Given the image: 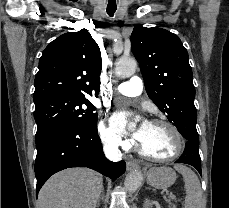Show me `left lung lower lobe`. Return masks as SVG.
Returning a JSON list of instances; mask_svg holds the SVG:
<instances>
[{
    "instance_id": "1",
    "label": "left lung lower lobe",
    "mask_w": 229,
    "mask_h": 208,
    "mask_svg": "<svg viewBox=\"0 0 229 208\" xmlns=\"http://www.w3.org/2000/svg\"><path fill=\"white\" fill-rule=\"evenodd\" d=\"M186 140L185 150L176 163L189 164L195 167L200 175L201 173V159L199 155V136L196 129H188L181 134Z\"/></svg>"
}]
</instances>
